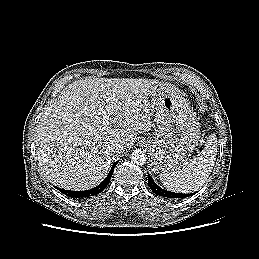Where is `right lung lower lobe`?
Instances as JSON below:
<instances>
[{
    "mask_svg": "<svg viewBox=\"0 0 259 259\" xmlns=\"http://www.w3.org/2000/svg\"><path fill=\"white\" fill-rule=\"evenodd\" d=\"M117 163H118V161L114 163L108 176L104 179L103 182H101V184H99L95 188H92L90 190H85V191H70V190H64V189H59V190H60V192L66 194L69 197H73V198H84V197H90V196L99 194L106 188V186L110 182L114 168L117 165ZM56 189H58V188H56Z\"/></svg>",
    "mask_w": 259,
    "mask_h": 259,
    "instance_id": "obj_1",
    "label": "right lung lower lobe"
}]
</instances>
